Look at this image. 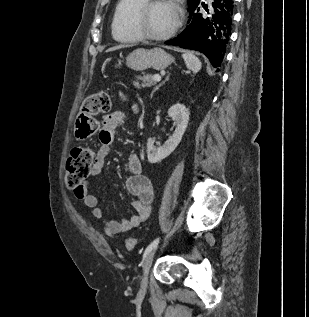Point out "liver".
Segmentation results:
<instances>
[{
  "label": "liver",
  "instance_id": "1",
  "mask_svg": "<svg viewBox=\"0 0 309 317\" xmlns=\"http://www.w3.org/2000/svg\"><path fill=\"white\" fill-rule=\"evenodd\" d=\"M125 47H128V46L127 45H118V46L109 48L106 52H112V51H115V50H118L121 48H125Z\"/></svg>",
  "mask_w": 309,
  "mask_h": 317
}]
</instances>
